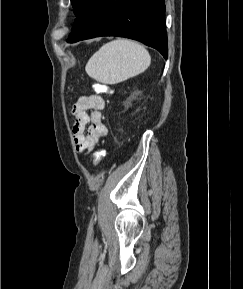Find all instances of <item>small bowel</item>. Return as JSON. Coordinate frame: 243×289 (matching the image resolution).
Segmentation results:
<instances>
[{
  "instance_id": "1",
  "label": "small bowel",
  "mask_w": 243,
  "mask_h": 289,
  "mask_svg": "<svg viewBox=\"0 0 243 289\" xmlns=\"http://www.w3.org/2000/svg\"><path fill=\"white\" fill-rule=\"evenodd\" d=\"M105 100L99 94L79 97L72 107L74 116L73 137L77 152L90 153L107 134L102 121Z\"/></svg>"
}]
</instances>
